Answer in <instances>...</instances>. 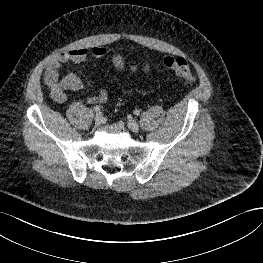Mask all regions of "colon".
Wrapping results in <instances>:
<instances>
[{
    "label": "colon",
    "instance_id": "colon-1",
    "mask_svg": "<svg viewBox=\"0 0 263 263\" xmlns=\"http://www.w3.org/2000/svg\"><path fill=\"white\" fill-rule=\"evenodd\" d=\"M163 65L173 71L178 77L182 78L188 86L195 83L196 78L186 59L182 57H166L163 60Z\"/></svg>",
    "mask_w": 263,
    "mask_h": 263
}]
</instances>
